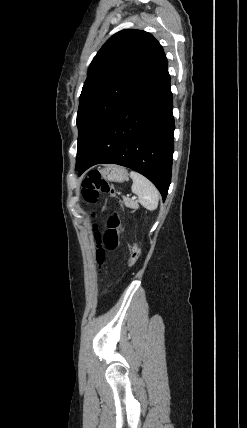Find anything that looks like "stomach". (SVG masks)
Here are the masks:
<instances>
[{
	"label": "stomach",
	"instance_id": "1",
	"mask_svg": "<svg viewBox=\"0 0 247 428\" xmlns=\"http://www.w3.org/2000/svg\"><path fill=\"white\" fill-rule=\"evenodd\" d=\"M102 177L105 180L112 182H124L128 178V172L124 167L118 165H108L102 172Z\"/></svg>",
	"mask_w": 247,
	"mask_h": 428
}]
</instances>
